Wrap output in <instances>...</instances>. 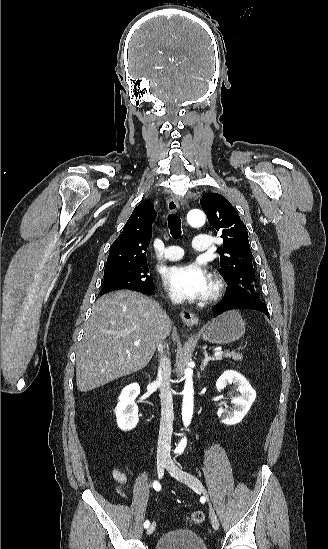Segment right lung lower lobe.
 Returning <instances> with one entry per match:
<instances>
[{
  "mask_svg": "<svg viewBox=\"0 0 328 549\" xmlns=\"http://www.w3.org/2000/svg\"><path fill=\"white\" fill-rule=\"evenodd\" d=\"M153 291H154V288L151 289V290H149V291H147V292H143V293H144V294H149V293H152Z\"/></svg>",
  "mask_w": 328,
  "mask_h": 549,
  "instance_id": "98d812e1",
  "label": "right lung lower lobe"
}]
</instances>
